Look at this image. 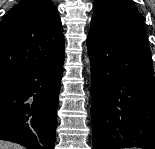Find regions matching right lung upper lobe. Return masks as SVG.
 I'll use <instances>...</instances> for the list:
<instances>
[{"mask_svg":"<svg viewBox=\"0 0 155 149\" xmlns=\"http://www.w3.org/2000/svg\"><path fill=\"white\" fill-rule=\"evenodd\" d=\"M63 55V29L51 0H22L1 20L0 73L20 74Z\"/></svg>","mask_w":155,"mask_h":149,"instance_id":"1","label":"right lung upper lobe"}]
</instances>
